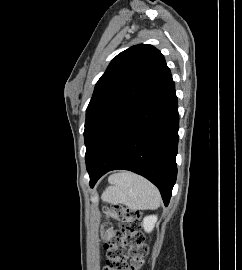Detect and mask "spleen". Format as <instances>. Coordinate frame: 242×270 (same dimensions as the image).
<instances>
[{
  "instance_id": "1",
  "label": "spleen",
  "mask_w": 242,
  "mask_h": 270,
  "mask_svg": "<svg viewBox=\"0 0 242 270\" xmlns=\"http://www.w3.org/2000/svg\"><path fill=\"white\" fill-rule=\"evenodd\" d=\"M112 186L103 193L102 199L111 204H124L133 210L156 209L161 196L158 189L145 178L131 172L114 175Z\"/></svg>"
}]
</instances>
